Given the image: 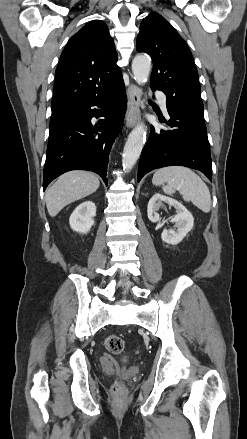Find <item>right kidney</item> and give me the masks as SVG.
Masks as SVG:
<instances>
[{
  "mask_svg": "<svg viewBox=\"0 0 247 439\" xmlns=\"http://www.w3.org/2000/svg\"><path fill=\"white\" fill-rule=\"evenodd\" d=\"M96 206L92 201H85L78 205L70 216L69 224L74 231L86 234L94 225Z\"/></svg>",
  "mask_w": 247,
  "mask_h": 439,
  "instance_id": "obj_1",
  "label": "right kidney"
}]
</instances>
